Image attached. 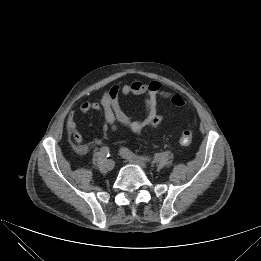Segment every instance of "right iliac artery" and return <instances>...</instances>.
I'll use <instances>...</instances> for the list:
<instances>
[{"mask_svg":"<svg viewBox=\"0 0 261 261\" xmlns=\"http://www.w3.org/2000/svg\"><path fill=\"white\" fill-rule=\"evenodd\" d=\"M100 154L102 157L107 158L110 156V149L107 146H103L100 149Z\"/></svg>","mask_w":261,"mask_h":261,"instance_id":"right-iliac-artery-1","label":"right iliac artery"}]
</instances>
